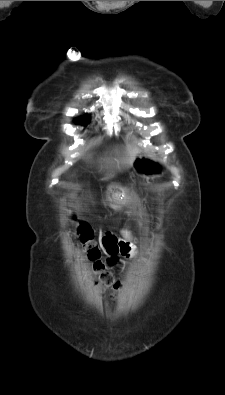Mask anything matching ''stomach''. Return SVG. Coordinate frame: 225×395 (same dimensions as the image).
I'll list each match as a JSON object with an SVG mask.
<instances>
[{
    "label": "stomach",
    "instance_id": "stomach-1",
    "mask_svg": "<svg viewBox=\"0 0 225 395\" xmlns=\"http://www.w3.org/2000/svg\"><path fill=\"white\" fill-rule=\"evenodd\" d=\"M134 171L144 178H150L158 176L162 173V166L155 160L146 157V156H138L135 158L132 164ZM124 196V190L111 186L109 188L108 198L111 201V205L113 208H117L118 202H121L122 197Z\"/></svg>",
    "mask_w": 225,
    "mask_h": 395
}]
</instances>
